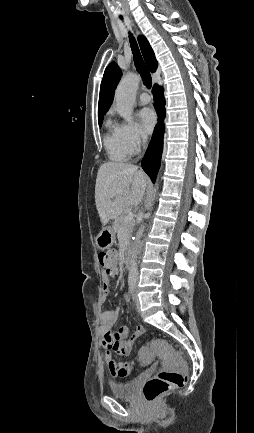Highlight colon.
I'll use <instances>...</instances> for the list:
<instances>
[{
  "label": "colon",
  "mask_w": 254,
  "mask_h": 433,
  "mask_svg": "<svg viewBox=\"0 0 254 433\" xmlns=\"http://www.w3.org/2000/svg\"><path fill=\"white\" fill-rule=\"evenodd\" d=\"M116 252L114 250L103 251L99 253V263L104 268L107 276H114L117 274ZM138 334L142 336L144 329L139 328ZM159 347L172 357V362L156 376L149 379L142 387L143 397L153 402L163 394L178 389L184 386L186 377V364L181 360L167 345L164 340H159ZM142 363L147 364L151 361V355L147 351H142L140 354Z\"/></svg>",
  "instance_id": "colon-1"
}]
</instances>
